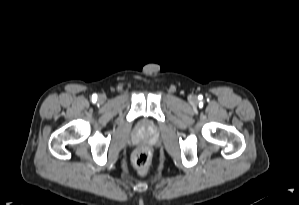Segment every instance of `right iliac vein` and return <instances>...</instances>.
I'll use <instances>...</instances> for the list:
<instances>
[{
  "mask_svg": "<svg viewBox=\"0 0 299 205\" xmlns=\"http://www.w3.org/2000/svg\"><path fill=\"white\" fill-rule=\"evenodd\" d=\"M99 102H104L105 101V96L104 95H100L98 98Z\"/></svg>",
  "mask_w": 299,
  "mask_h": 205,
  "instance_id": "right-iliac-vein-1",
  "label": "right iliac vein"
}]
</instances>
